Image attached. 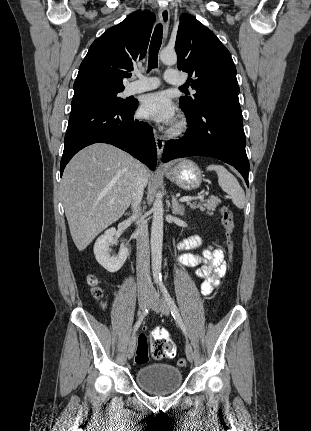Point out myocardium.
I'll return each instance as SVG.
<instances>
[{
	"mask_svg": "<svg viewBox=\"0 0 311 431\" xmlns=\"http://www.w3.org/2000/svg\"><path fill=\"white\" fill-rule=\"evenodd\" d=\"M187 121L181 120L174 128L170 130V135L172 136H178L181 134H184L187 131Z\"/></svg>",
	"mask_w": 311,
	"mask_h": 431,
	"instance_id": "myocardium-1",
	"label": "myocardium"
}]
</instances>
